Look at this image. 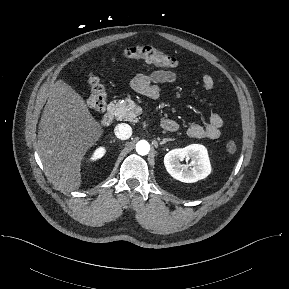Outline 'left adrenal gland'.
Instances as JSON below:
<instances>
[{
    "label": "left adrenal gland",
    "instance_id": "a2214340",
    "mask_svg": "<svg viewBox=\"0 0 289 289\" xmlns=\"http://www.w3.org/2000/svg\"><path fill=\"white\" fill-rule=\"evenodd\" d=\"M173 139H170V138H164L161 142H160V145H163L165 144L167 141H172Z\"/></svg>",
    "mask_w": 289,
    "mask_h": 289
}]
</instances>
